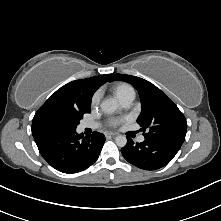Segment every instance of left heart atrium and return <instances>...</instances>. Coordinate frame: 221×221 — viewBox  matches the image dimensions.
I'll list each match as a JSON object with an SVG mask.
<instances>
[{
  "label": "left heart atrium",
  "mask_w": 221,
  "mask_h": 221,
  "mask_svg": "<svg viewBox=\"0 0 221 221\" xmlns=\"http://www.w3.org/2000/svg\"><path fill=\"white\" fill-rule=\"evenodd\" d=\"M120 122V120H118V119H114V120H112V125H117L118 123Z\"/></svg>",
  "instance_id": "obj_1"
}]
</instances>
